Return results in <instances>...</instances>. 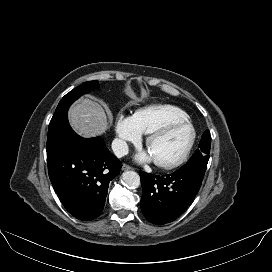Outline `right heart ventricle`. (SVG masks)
Instances as JSON below:
<instances>
[{
  "instance_id": "e07e8e85",
  "label": "right heart ventricle",
  "mask_w": 272,
  "mask_h": 272,
  "mask_svg": "<svg viewBox=\"0 0 272 272\" xmlns=\"http://www.w3.org/2000/svg\"><path fill=\"white\" fill-rule=\"evenodd\" d=\"M132 119L141 134H149L168 122L188 119V115L177 106L165 104L140 109Z\"/></svg>"
}]
</instances>
